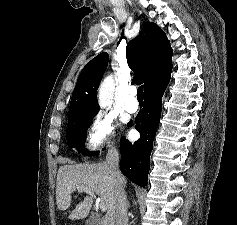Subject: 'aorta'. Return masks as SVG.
I'll use <instances>...</instances> for the list:
<instances>
[{"label":"aorta","instance_id":"aorta-1","mask_svg":"<svg viewBox=\"0 0 237 225\" xmlns=\"http://www.w3.org/2000/svg\"><path fill=\"white\" fill-rule=\"evenodd\" d=\"M114 82L112 76L106 77L99 87L98 101L99 105L104 108L111 104L113 99Z\"/></svg>","mask_w":237,"mask_h":225}]
</instances>
